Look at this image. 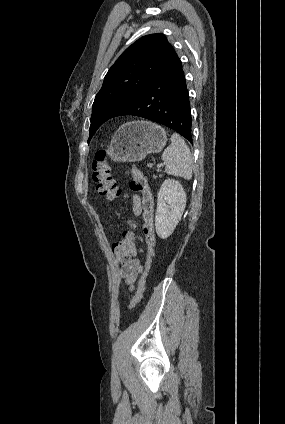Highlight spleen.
<instances>
[{
	"label": "spleen",
	"mask_w": 285,
	"mask_h": 424,
	"mask_svg": "<svg viewBox=\"0 0 285 424\" xmlns=\"http://www.w3.org/2000/svg\"><path fill=\"white\" fill-rule=\"evenodd\" d=\"M162 160L167 174L187 180L192 177L193 158L189 147L178 134L171 136V144L164 150Z\"/></svg>",
	"instance_id": "spleen-1"
}]
</instances>
